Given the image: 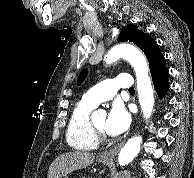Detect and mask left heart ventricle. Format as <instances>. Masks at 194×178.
Here are the masks:
<instances>
[{
    "instance_id": "b2bd125f",
    "label": "left heart ventricle",
    "mask_w": 194,
    "mask_h": 178,
    "mask_svg": "<svg viewBox=\"0 0 194 178\" xmlns=\"http://www.w3.org/2000/svg\"><path fill=\"white\" fill-rule=\"evenodd\" d=\"M105 121H106L105 116H100V117H97L96 119H94L93 123L100 130H104Z\"/></svg>"
}]
</instances>
